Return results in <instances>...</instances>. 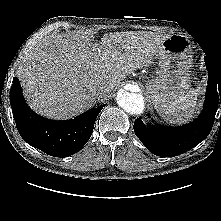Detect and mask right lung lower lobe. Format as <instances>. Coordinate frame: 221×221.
Returning <instances> with one entry per match:
<instances>
[{"label": "right lung lower lobe", "mask_w": 221, "mask_h": 221, "mask_svg": "<svg viewBox=\"0 0 221 221\" xmlns=\"http://www.w3.org/2000/svg\"><path fill=\"white\" fill-rule=\"evenodd\" d=\"M10 103L21 137L31 146L54 157H67L78 152L91 137L95 120L106 105L90 109L74 119L49 120L27 105L18 78L13 79Z\"/></svg>", "instance_id": "right-lung-lower-lobe-1"}]
</instances>
